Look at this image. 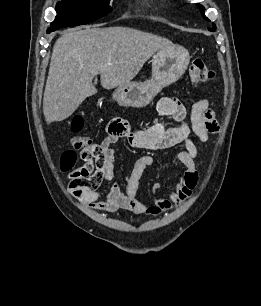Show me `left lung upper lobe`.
<instances>
[{
  "instance_id": "left-lung-upper-lobe-1",
  "label": "left lung upper lobe",
  "mask_w": 261,
  "mask_h": 306,
  "mask_svg": "<svg viewBox=\"0 0 261 306\" xmlns=\"http://www.w3.org/2000/svg\"><path fill=\"white\" fill-rule=\"evenodd\" d=\"M198 7H199V9H200V11H201L202 16H203L206 20L209 21V19L205 16V8H204L202 5H200V4H198ZM208 29H209L210 31H215L216 26L213 25L212 28H208Z\"/></svg>"
}]
</instances>
